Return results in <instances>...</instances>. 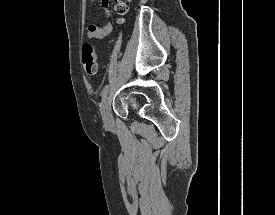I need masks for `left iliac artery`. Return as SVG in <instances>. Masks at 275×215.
<instances>
[{
	"mask_svg": "<svg viewBox=\"0 0 275 215\" xmlns=\"http://www.w3.org/2000/svg\"><path fill=\"white\" fill-rule=\"evenodd\" d=\"M108 91H109V86L105 85V87L103 88V90L101 92L102 97H105L107 95Z\"/></svg>",
	"mask_w": 275,
	"mask_h": 215,
	"instance_id": "obj_1",
	"label": "left iliac artery"
}]
</instances>
